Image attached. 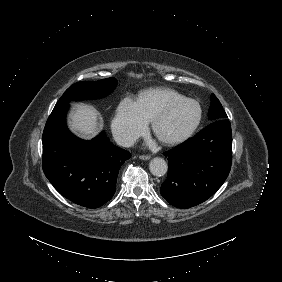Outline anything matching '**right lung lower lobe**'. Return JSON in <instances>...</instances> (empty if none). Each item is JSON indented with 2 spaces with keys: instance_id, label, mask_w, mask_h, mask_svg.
Segmentation results:
<instances>
[{
  "instance_id": "98d812e1",
  "label": "right lung lower lobe",
  "mask_w": 282,
  "mask_h": 282,
  "mask_svg": "<svg viewBox=\"0 0 282 282\" xmlns=\"http://www.w3.org/2000/svg\"><path fill=\"white\" fill-rule=\"evenodd\" d=\"M69 103L55 106L43 132V171L70 201L97 208L111 199L121 165L131 154L101 133L90 141L74 136L65 122Z\"/></svg>"
}]
</instances>
